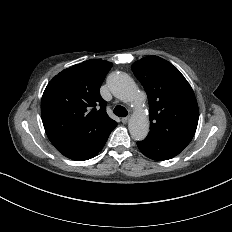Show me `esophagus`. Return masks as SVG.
Masks as SVG:
<instances>
[{
    "mask_svg": "<svg viewBox=\"0 0 232 232\" xmlns=\"http://www.w3.org/2000/svg\"><path fill=\"white\" fill-rule=\"evenodd\" d=\"M128 119H129V116H126V117H123V118L121 119V121H122L123 124H126L127 121H128Z\"/></svg>",
    "mask_w": 232,
    "mask_h": 232,
    "instance_id": "34e87169",
    "label": "esophagus"
}]
</instances>
